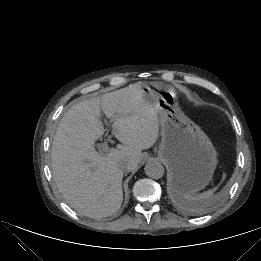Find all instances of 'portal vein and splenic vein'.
<instances>
[{"mask_svg": "<svg viewBox=\"0 0 261 261\" xmlns=\"http://www.w3.org/2000/svg\"><path fill=\"white\" fill-rule=\"evenodd\" d=\"M100 148H101V152H100L101 155H106L109 152V146L106 142L101 144Z\"/></svg>", "mask_w": 261, "mask_h": 261, "instance_id": "1", "label": "portal vein and splenic vein"}]
</instances>
